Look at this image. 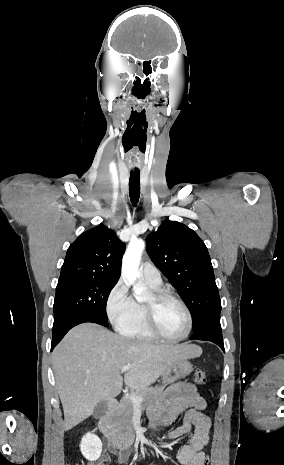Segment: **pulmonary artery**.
I'll use <instances>...</instances> for the list:
<instances>
[{
	"instance_id": "1",
	"label": "pulmonary artery",
	"mask_w": 284,
	"mask_h": 465,
	"mask_svg": "<svg viewBox=\"0 0 284 465\" xmlns=\"http://www.w3.org/2000/svg\"><path fill=\"white\" fill-rule=\"evenodd\" d=\"M144 281L149 285H161L162 279L159 270L148 263H144L141 268Z\"/></svg>"
}]
</instances>
